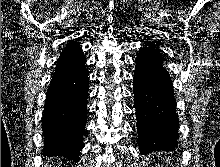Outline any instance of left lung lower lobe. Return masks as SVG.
I'll list each match as a JSON object with an SVG mask.
<instances>
[{
    "mask_svg": "<svg viewBox=\"0 0 220 167\" xmlns=\"http://www.w3.org/2000/svg\"><path fill=\"white\" fill-rule=\"evenodd\" d=\"M133 87L141 154L175 150L179 120L173 84L156 48L139 51Z\"/></svg>",
    "mask_w": 220,
    "mask_h": 167,
    "instance_id": "left-lung-lower-lobe-1",
    "label": "left lung lower lobe"
}]
</instances>
